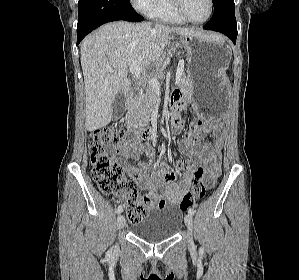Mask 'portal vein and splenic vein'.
<instances>
[{"instance_id":"1","label":"portal vein and splenic vein","mask_w":299,"mask_h":280,"mask_svg":"<svg viewBox=\"0 0 299 280\" xmlns=\"http://www.w3.org/2000/svg\"><path fill=\"white\" fill-rule=\"evenodd\" d=\"M183 68L184 64H179L178 69L176 71V78H175V84L179 83L180 78L183 74ZM129 72L134 74L136 77H141L143 75V68L140 66L139 62H134L132 65L128 68ZM109 72H113L112 69H108ZM148 84L150 87H152L157 93H160V83L157 80V78H150L148 81Z\"/></svg>"}]
</instances>
